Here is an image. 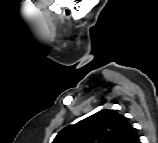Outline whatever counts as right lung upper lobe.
<instances>
[{
  "instance_id": "obj_1",
  "label": "right lung upper lobe",
  "mask_w": 158,
  "mask_h": 143,
  "mask_svg": "<svg viewBox=\"0 0 158 143\" xmlns=\"http://www.w3.org/2000/svg\"><path fill=\"white\" fill-rule=\"evenodd\" d=\"M53 143H139V137L127 118L105 109L65 127Z\"/></svg>"
}]
</instances>
